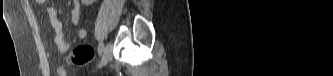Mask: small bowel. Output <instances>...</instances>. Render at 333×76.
<instances>
[{
	"instance_id": "1",
	"label": "small bowel",
	"mask_w": 333,
	"mask_h": 76,
	"mask_svg": "<svg viewBox=\"0 0 333 76\" xmlns=\"http://www.w3.org/2000/svg\"><path fill=\"white\" fill-rule=\"evenodd\" d=\"M44 2V1H40ZM80 10H81V1L74 0L73 1V7L71 10V16H70V23L72 27H77L80 21ZM46 12L50 18L51 25L54 29V43L56 50L59 53L66 52L71 46L77 43L79 40H83L87 32L85 29L80 28L76 32V36L71 39H66L63 34V27L60 20L57 18V13L54 7H47ZM60 75H65V72L63 69L59 70Z\"/></svg>"
}]
</instances>
